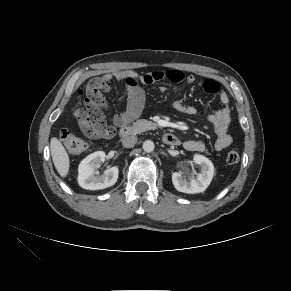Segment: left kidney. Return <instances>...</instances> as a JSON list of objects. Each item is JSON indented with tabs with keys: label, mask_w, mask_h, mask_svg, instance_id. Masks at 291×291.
I'll use <instances>...</instances> for the list:
<instances>
[{
	"label": "left kidney",
	"mask_w": 291,
	"mask_h": 291,
	"mask_svg": "<svg viewBox=\"0 0 291 291\" xmlns=\"http://www.w3.org/2000/svg\"><path fill=\"white\" fill-rule=\"evenodd\" d=\"M193 161L200 168L195 177L184 175L181 172L172 173V182L176 190L187 194L201 193L211 183L214 175L213 163L202 155H194Z\"/></svg>",
	"instance_id": "5707ae66"
}]
</instances>
